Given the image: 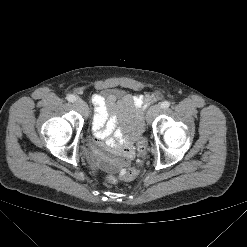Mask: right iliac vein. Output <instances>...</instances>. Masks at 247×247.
I'll return each instance as SVG.
<instances>
[{
  "mask_svg": "<svg viewBox=\"0 0 247 247\" xmlns=\"http://www.w3.org/2000/svg\"><path fill=\"white\" fill-rule=\"evenodd\" d=\"M74 106L84 115V116H88V106L87 104L81 100V99H77L74 102Z\"/></svg>",
  "mask_w": 247,
  "mask_h": 247,
  "instance_id": "63e3f726",
  "label": "right iliac vein"
}]
</instances>
